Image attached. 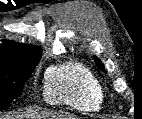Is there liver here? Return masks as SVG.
I'll use <instances>...</instances> for the list:
<instances>
[{"label": "liver", "instance_id": "liver-1", "mask_svg": "<svg viewBox=\"0 0 142 119\" xmlns=\"http://www.w3.org/2000/svg\"><path fill=\"white\" fill-rule=\"evenodd\" d=\"M16 117L24 118V119H75L71 115H57L52 112H39L37 110H28L24 112L22 115H18ZM0 119H14L11 116H0Z\"/></svg>", "mask_w": 142, "mask_h": 119}]
</instances>
